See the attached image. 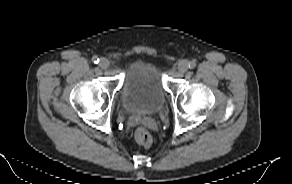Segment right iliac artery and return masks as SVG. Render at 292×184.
Here are the masks:
<instances>
[{
  "label": "right iliac artery",
  "mask_w": 292,
  "mask_h": 184,
  "mask_svg": "<svg viewBox=\"0 0 292 184\" xmlns=\"http://www.w3.org/2000/svg\"><path fill=\"white\" fill-rule=\"evenodd\" d=\"M92 61H93L95 64H98V62H99V58H98L97 56H94V57L92 58Z\"/></svg>",
  "instance_id": "82829eb1"
}]
</instances>
